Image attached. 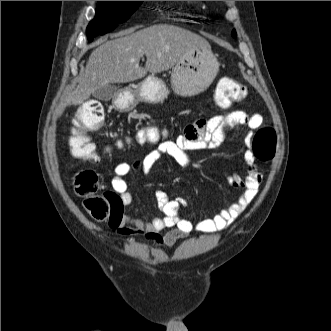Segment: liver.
<instances>
[{
	"mask_svg": "<svg viewBox=\"0 0 331 331\" xmlns=\"http://www.w3.org/2000/svg\"><path fill=\"white\" fill-rule=\"evenodd\" d=\"M209 43L201 36L177 26L153 25L137 32L129 30L106 41L89 56L78 86L56 110L60 117L69 105H79L98 88L111 83H127L143 78L147 72L160 73L173 68L188 52ZM146 56L145 68L139 66Z\"/></svg>",
	"mask_w": 331,
	"mask_h": 331,
	"instance_id": "6515ba94",
	"label": "liver"
}]
</instances>
